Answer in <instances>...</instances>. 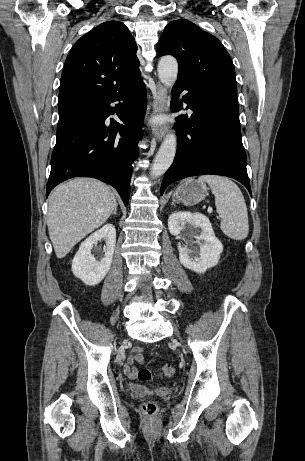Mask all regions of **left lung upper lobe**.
Listing matches in <instances>:
<instances>
[{"mask_svg": "<svg viewBox=\"0 0 305 461\" xmlns=\"http://www.w3.org/2000/svg\"><path fill=\"white\" fill-rule=\"evenodd\" d=\"M157 54H171L178 60L177 82L237 87L234 65L222 43L188 20H175L165 27Z\"/></svg>", "mask_w": 305, "mask_h": 461, "instance_id": "obj_1", "label": "left lung upper lobe"}]
</instances>
